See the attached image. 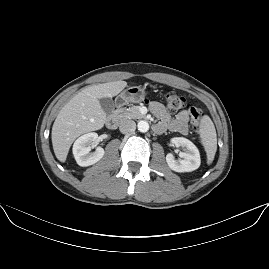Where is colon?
Wrapping results in <instances>:
<instances>
[{
	"label": "colon",
	"instance_id": "obj_1",
	"mask_svg": "<svg viewBox=\"0 0 269 269\" xmlns=\"http://www.w3.org/2000/svg\"><path fill=\"white\" fill-rule=\"evenodd\" d=\"M165 104L169 111L177 112L184 107L185 98L179 93L168 92L165 96ZM203 115V112L199 108H190V122L193 128L199 129Z\"/></svg>",
	"mask_w": 269,
	"mask_h": 269
}]
</instances>
